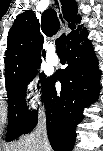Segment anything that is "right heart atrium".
I'll list each match as a JSON object with an SVG mask.
<instances>
[{
	"mask_svg": "<svg viewBox=\"0 0 103 151\" xmlns=\"http://www.w3.org/2000/svg\"><path fill=\"white\" fill-rule=\"evenodd\" d=\"M24 103L27 110L32 111L42 103L41 85L38 77L29 79L24 87Z\"/></svg>",
	"mask_w": 103,
	"mask_h": 151,
	"instance_id": "obj_1",
	"label": "right heart atrium"
}]
</instances>
